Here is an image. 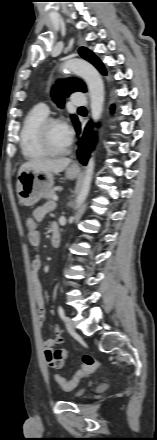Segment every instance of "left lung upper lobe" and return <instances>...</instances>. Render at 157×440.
<instances>
[{
  "instance_id": "1",
  "label": "left lung upper lobe",
  "mask_w": 157,
  "mask_h": 440,
  "mask_svg": "<svg viewBox=\"0 0 157 440\" xmlns=\"http://www.w3.org/2000/svg\"><path fill=\"white\" fill-rule=\"evenodd\" d=\"M79 54L82 56V58L92 63L103 75H106L103 64L90 50L85 47H81L79 49ZM75 91H86L85 84L81 80L76 78L60 80L52 88V97L58 106L62 108L64 105V97ZM71 118L76 126L79 123L77 117L75 115H71Z\"/></svg>"
}]
</instances>
